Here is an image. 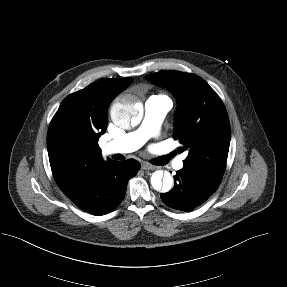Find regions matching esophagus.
Here are the masks:
<instances>
[{
    "instance_id": "esophagus-1",
    "label": "esophagus",
    "mask_w": 287,
    "mask_h": 287,
    "mask_svg": "<svg viewBox=\"0 0 287 287\" xmlns=\"http://www.w3.org/2000/svg\"><path fill=\"white\" fill-rule=\"evenodd\" d=\"M142 169H143V170H155V169H156V166H154V165H152V164H150V163L145 162V163L142 164Z\"/></svg>"
}]
</instances>
